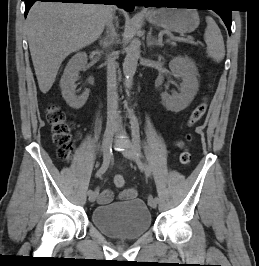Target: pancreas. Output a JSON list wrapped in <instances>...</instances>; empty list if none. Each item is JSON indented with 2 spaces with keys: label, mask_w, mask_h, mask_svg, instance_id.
Wrapping results in <instances>:
<instances>
[{
  "label": "pancreas",
  "mask_w": 259,
  "mask_h": 266,
  "mask_svg": "<svg viewBox=\"0 0 259 266\" xmlns=\"http://www.w3.org/2000/svg\"><path fill=\"white\" fill-rule=\"evenodd\" d=\"M167 42H170V41H167ZM171 45L175 46V43L174 42H171Z\"/></svg>",
  "instance_id": "obj_1"
}]
</instances>
